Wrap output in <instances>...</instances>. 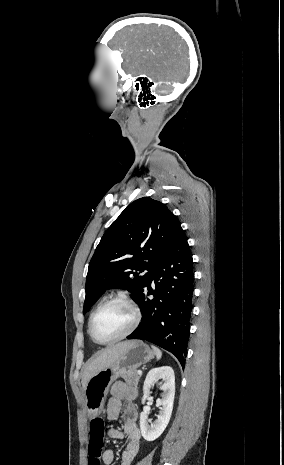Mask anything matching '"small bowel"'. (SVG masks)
I'll use <instances>...</instances> for the list:
<instances>
[{"instance_id": "small-bowel-1", "label": "small bowel", "mask_w": 284, "mask_h": 465, "mask_svg": "<svg viewBox=\"0 0 284 465\" xmlns=\"http://www.w3.org/2000/svg\"><path fill=\"white\" fill-rule=\"evenodd\" d=\"M137 397V391L127 386L122 381L115 382L110 390V398L107 403V417L114 421L122 417V430L110 428L108 436L115 440H120L124 436L128 437V442L121 455V465H131L139 453L141 435L137 426L138 411L134 406ZM123 403L125 406L123 407ZM115 459V453L112 449H107L103 454L105 465H112Z\"/></svg>"}]
</instances>
